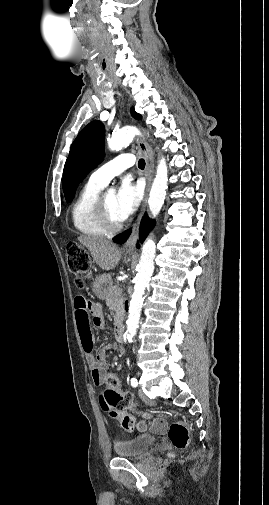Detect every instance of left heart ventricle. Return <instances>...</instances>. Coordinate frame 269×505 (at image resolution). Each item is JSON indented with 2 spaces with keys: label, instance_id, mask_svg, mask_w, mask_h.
Here are the masks:
<instances>
[{
  "label": "left heart ventricle",
  "instance_id": "b2bd125f",
  "mask_svg": "<svg viewBox=\"0 0 269 505\" xmlns=\"http://www.w3.org/2000/svg\"><path fill=\"white\" fill-rule=\"evenodd\" d=\"M103 202L112 221L116 223L121 222L122 220L118 217L116 213L115 195L111 194L103 197Z\"/></svg>",
  "mask_w": 269,
  "mask_h": 505
}]
</instances>
